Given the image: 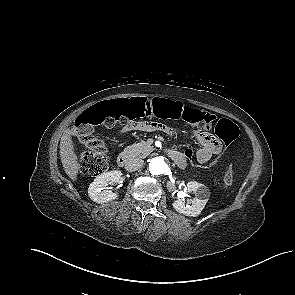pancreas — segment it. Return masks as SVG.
<instances>
[{"mask_svg":"<svg viewBox=\"0 0 295 295\" xmlns=\"http://www.w3.org/2000/svg\"><path fill=\"white\" fill-rule=\"evenodd\" d=\"M154 147L148 144L145 141H141L139 143H135L131 146H127L124 149V153L127 154L129 157H147L152 151Z\"/></svg>","mask_w":295,"mask_h":295,"instance_id":"1","label":"pancreas"}]
</instances>
